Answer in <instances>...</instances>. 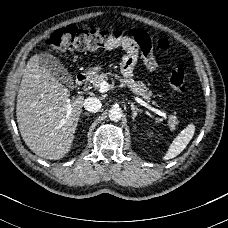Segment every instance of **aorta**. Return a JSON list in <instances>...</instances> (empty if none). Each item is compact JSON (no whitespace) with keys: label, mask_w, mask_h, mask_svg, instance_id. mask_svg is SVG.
I'll return each instance as SVG.
<instances>
[{"label":"aorta","mask_w":228,"mask_h":228,"mask_svg":"<svg viewBox=\"0 0 228 228\" xmlns=\"http://www.w3.org/2000/svg\"><path fill=\"white\" fill-rule=\"evenodd\" d=\"M109 119L112 120V121H118L121 119L122 117V110L118 107H112L110 110H109Z\"/></svg>","instance_id":"762f6f07"}]
</instances>
